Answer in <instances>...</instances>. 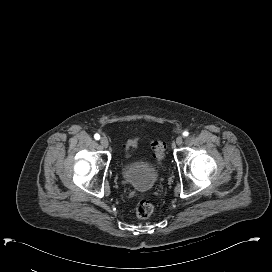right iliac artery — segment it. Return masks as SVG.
I'll return each instance as SVG.
<instances>
[{
    "label": "right iliac artery",
    "instance_id": "obj_1",
    "mask_svg": "<svg viewBox=\"0 0 272 272\" xmlns=\"http://www.w3.org/2000/svg\"><path fill=\"white\" fill-rule=\"evenodd\" d=\"M94 138H95L96 140H99V139H100V135H99V134H95V135H94Z\"/></svg>",
    "mask_w": 272,
    "mask_h": 272
}]
</instances>
